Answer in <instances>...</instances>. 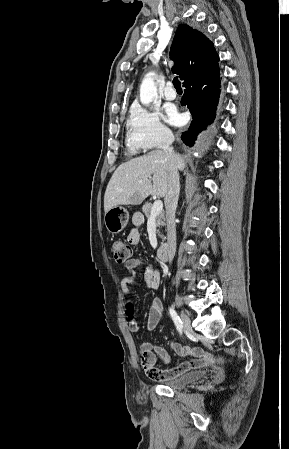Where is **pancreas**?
Here are the masks:
<instances>
[{"instance_id": "1", "label": "pancreas", "mask_w": 289, "mask_h": 449, "mask_svg": "<svg viewBox=\"0 0 289 449\" xmlns=\"http://www.w3.org/2000/svg\"><path fill=\"white\" fill-rule=\"evenodd\" d=\"M151 209H152L151 203L144 204L142 208V211L147 218L151 217ZM156 225L158 228L163 227L165 225V214L163 211L156 216ZM157 233L162 239H164L163 235L160 234L159 229L157 230Z\"/></svg>"}]
</instances>
